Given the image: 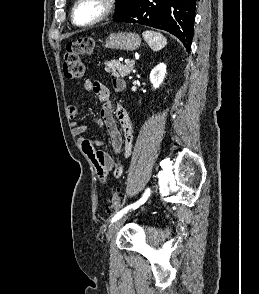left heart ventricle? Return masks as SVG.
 <instances>
[{
    "label": "left heart ventricle",
    "mask_w": 259,
    "mask_h": 294,
    "mask_svg": "<svg viewBox=\"0 0 259 294\" xmlns=\"http://www.w3.org/2000/svg\"><path fill=\"white\" fill-rule=\"evenodd\" d=\"M103 10L100 0H84L76 12V21L78 23H87L97 18Z\"/></svg>",
    "instance_id": "1"
}]
</instances>
